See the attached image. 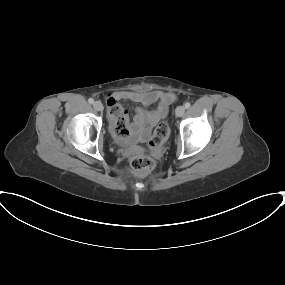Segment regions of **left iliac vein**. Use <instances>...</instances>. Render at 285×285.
Listing matches in <instances>:
<instances>
[{
  "instance_id": "4c4485c4",
  "label": "left iliac vein",
  "mask_w": 285,
  "mask_h": 285,
  "mask_svg": "<svg viewBox=\"0 0 285 285\" xmlns=\"http://www.w3.org/2000/svg\"><path fill=\"white\" fill-rule=\"evenodd\" d=\"M175 113H176V116L181 117L185 113V108L183 106H178L176 108Z\"/></svg>"
}]
</instances>
